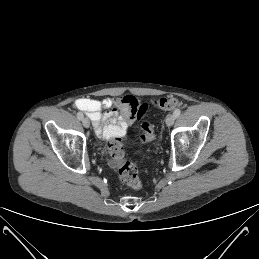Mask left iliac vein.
Segmentation results:
<instances>
[{
  "instance_id": "obj_1",
  "label": "left iliac vein",
  "mask_w": 259,
  "mask_h": 259,
  "mask_svg": "<svg viewBox=\"0 0 259 259\" xmlns=\"http://www.w3.org/2000/svg\"><path fill=\"white\" fill-rule=\"evenodd\" d=\"M175 118L176 117L174 116V114H168L165 120L166 125L168 127L172 126L174 124Z\"/></svg>"
}]
</instances>
